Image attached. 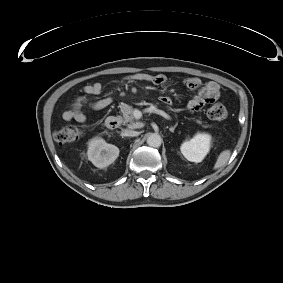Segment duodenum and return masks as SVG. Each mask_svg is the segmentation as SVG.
Segmentation results:
<instances>
[{
  "instance_id": "410a0bca",
  "label": "duodenum",
  "mask_w": 283,
  "mask_h": 283,
  "mask_svg": "<svg viewBox=\"0 0 283 283\" xmlns=\"http://www.w3.org/2000/svg\"><path fill=\"white\" fill-rule=\"evenodd\" d=\"M120 125V119L116 116H109L105 120V126L110 129H116Z\"/></svg>"
}]
</instances>
